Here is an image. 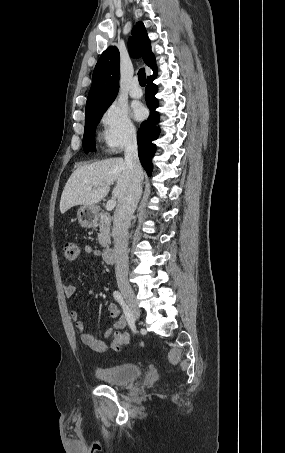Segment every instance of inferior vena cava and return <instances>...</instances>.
Listing matches in <instances>:
<instances>
[{"mask_svg": "<svg viewBox=\"0 0 285 453\" xmlns=\"http://www.w3.org/2000/svg\"><path fill=\"white\" fill-rule=\"evenodd\" d=\"M125 164L132 172L128 192L118 202L113 220L115 273L118 283L128 277V228L142 194L143 170L138 157L136 133L128 135L125 142Z\"/></svg>", "mask_w": 285, "mask_h": 453, "instance_id": "1", "label": "inferior vena cava"}]
</instances>
